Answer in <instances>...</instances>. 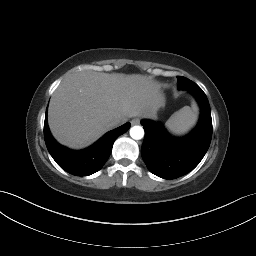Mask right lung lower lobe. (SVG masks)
I'll return each instance as SVG.
<instances>
[{
    "instance_id": "right-lung-lower-lobe-1",
    "label": "right lung lower lobe",
    "mask_w": 256,
    "mask_h": 256,
    "mask_svg": "<svg viewBox=\"0 0 256 256\" xmlns=\"http://www.w3.org/2000/svg\"><path fill=\"white\" fill-rule=\"evenodd\" d=\"M130 128L126 123L106 133L95 144L81 151H72L58 144L52 137L47 124V111L44 122V138L47 149L56 163L75 176H87L99 171L109 158L114 141Z\"/></svg>"
}]
</instances>
